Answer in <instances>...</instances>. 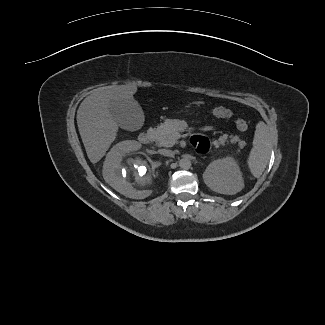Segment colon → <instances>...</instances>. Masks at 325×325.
Segmentation results:
<instances>
[{
  "label": "colon",
  "instance_id": "colon-1",
  "mask_svg": "<svg viewBox=\"0 0 325 325\" xmlns=\"http://www.w3.org/2000/svg\"><path fill=\"white\" fill-rule=\"evenodd\" d=\"M210 112L217 118H231L234 115L230 109L221 106L212 108ZM235 125L241 132H246L249 128L248 123L240 117L235 119Z\"/></svg>",
  "mask_w": 325,
  "mask_h": 325
}]
</instances>
